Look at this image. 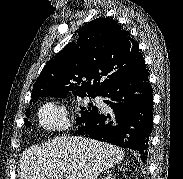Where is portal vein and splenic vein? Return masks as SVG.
Here are the masks:
<instances>
[{
    "label": "portal vein and splenic vein",
    "mask_w": 183,
    "mask_h": 179,
    "mask_svg": "<svg viewBox=\"0 0 183 179\" xmlns=\"http://www.w3.org/2000/svg\"><path fill=\"white\" fill-rule=\"evenodd\" d=\"M66 179H72L71 177L67 176Z\"/></svg>",
    "instance_id": "18ae733b"
}]
</instances>
